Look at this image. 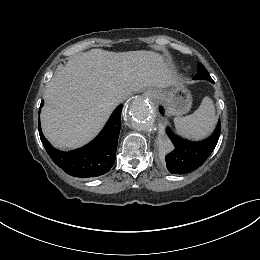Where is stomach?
Segmentation results:
<instances>
[{
    "label": "stomach",
    "mask_w": 260,
    "mask_h": 260,
    "mask_svg": "<svg viewBox=\"0 0 260 260\" xmlns=\"http://www.w3.org/2000/svg\"><path fill=\"white\" fill-rule=\"evenodd\" d=\"M153 99L163 103L171 116H181L188 113L192 106L190 91L181 83L174 84L169 89H151Z\"/></svg>",
    "instance_id": "1"
}]
</instances>
